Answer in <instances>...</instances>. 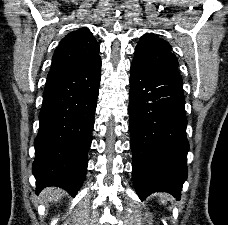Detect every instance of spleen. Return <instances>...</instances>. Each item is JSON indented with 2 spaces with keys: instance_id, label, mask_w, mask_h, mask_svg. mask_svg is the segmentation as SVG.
Here are the masks:
<instances>
[{
  "instance_id": "1",
  "label": "spleen",
  "mask_w": 228,
  "mask_h": 225,
  "mask_svg": "<svg viewBox=\"0 0 228 225\" xmlns=\"http://www.w3.org/2000/svg\"><path fill=\"white\" fill-rule=\"evenodd\" d=\"M166 199H167V197H166ZM161 203H166V201H164V199H163V201H161Z\"/></svg>"
}]
</instances>
